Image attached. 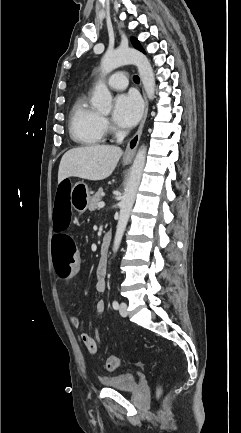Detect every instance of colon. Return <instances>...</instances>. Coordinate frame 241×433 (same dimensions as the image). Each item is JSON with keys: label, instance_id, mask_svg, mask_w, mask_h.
Segmentation results:
<instances>
[{"label": "colon", "instance_id": "obj_1", "mask_svg": "<svg viewBox=\"0 0 241 433\" xmlns=\"http://www.w3.org/2000/svg\"><path fill=\"white\" fill-rule=\"evenodd\" d=\"M71 182L63 178L54 188V207L52 210V225L58 234L51 235L52 257L58 276L62 280H69L74 274L77 263V250L73 234H65L63 230L70 225L73 210L71 207ZM119 358L111 354L105 361V367L113 371L119 366ZM158 390L161 391V378Z\"/></svg>", "mask_w": 241, "mask_h": 433}]
</instances>
